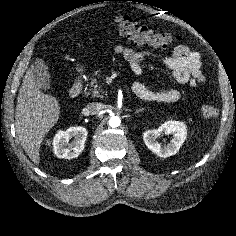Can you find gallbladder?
I'll return each instance as SVG.
<instances>
[{
	"mask_svg": "<svg viewBox=\"0 0 236 236\" xmlns=\"http://www.w3.org/2000/svg\"><path fill=\"white\" fill-rule=\"evenodd\" d=\"M31 71L36 79V83L41 90L50 89V74L48 66L42 59H36L31 67Z\"/></svg>",
	"mask_w": 236,
	"mask_h": 236,
	"instance_id": "bac80fb5",
	"label": "gallbladder"
}]
</instances>
